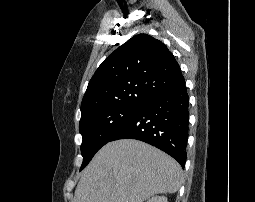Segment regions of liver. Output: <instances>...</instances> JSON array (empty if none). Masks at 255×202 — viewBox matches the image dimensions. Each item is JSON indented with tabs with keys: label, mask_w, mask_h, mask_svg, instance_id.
Segmentation results:
<instances>
[{
	"label": "liver",
	"mask_w": 255,
	"mask_h": 202,
	"mask_svg": "<svg viewBox=\"0 0 255 202\" xmlns=\"http://www.w3.org/2000/svg\"><path fill=\"white\" fill-rule=\"evenodd\" d=\"M182 184V168L163 151L135 139L102 147L83 171L74 202H144L173 194Z\"/></svg>",
	"instance_id": "obj_1"
}]
</instances>
